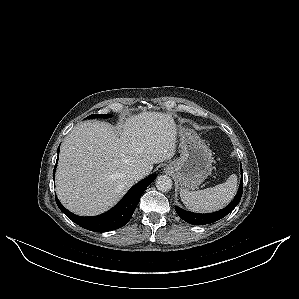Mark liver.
<instances>
[{
    "mask_svg": "<svg viewBox=\"0 0 299 299\" xmlns=\"http://www.w3.org/2000/svg\"><path fill=\"white\" fill-rule=\"evenodd\" d=\"M178 129L169 114L132 115L116 130L100 121L76 125L65 137L56 171L61 203L81 216L112 208L133 186L130 171L173 158Z\"/></svg>",
    "mask_w": 299,
    "mask_h": 299,
    "instance_id": "6515ba94",
    "label": "liver"
}]
</instances>
